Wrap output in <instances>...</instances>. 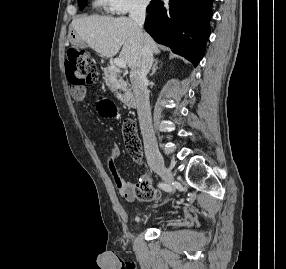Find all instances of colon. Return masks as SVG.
Listing matches in <instances>:
<instances>
[{"mask_svg": "<svg viewBox=\"0 0 286 269\" xmlns=\"http://www.w3.org/2000/svg\"><path fill=\"white\" fill-rule=\"evenodd\" d=\"M66 73L73 90L85 84L93 83L97 78V71L92 56L76 46L67 49ZM101 115L111 116L115 108L111 101L102 99L98 106ZM123 137L126 149L135 162H140L142 157L141 143L133 120L127 119L123 123ZM135 197L143 202L155 201L158 190L152 186L150 178L142 175L134 185Z\"/></svg>", "mask_w": 286, "mask_h": 269, "instance_id": "colon-1", "label": "colon"}]
</instances>
